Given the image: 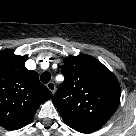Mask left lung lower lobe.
Here are the masks:
<instances>
[{"label": "left lung lower lobe", "instance_id": "1", "mask_svg": "<svg viewBox=\"0 0 136 136\" xmlns=\"http://www.w3.org/2000/svg\"><path fill=\"white\" fill-rule=\"evenodd\" d=\"M94 131H96V130H85V131H81L82 133H92V132H94Z\"/></svg>", "mask_w": 136, "mask_h": 136}]
</instances>
